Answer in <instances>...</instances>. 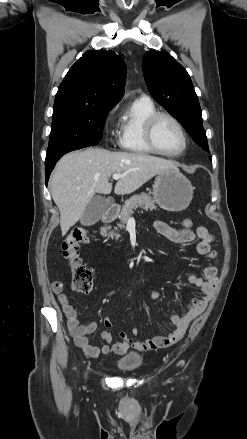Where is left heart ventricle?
Instances as JSON below:
<instances>
[{"label":"left heart ventricle","mask_w":247,"mask_h":439,"mask_svg":"<svg viewBox=\"0 0 247 439\" xmlns=\"http://www.w3.org/2000/svg\"><path fill=\"white\" fill-rule=\"evenodd\" d=\"M155 143L162 151L173 153L181 149L183 140L176 125L167 118L157 121L154 129Z\"/></svg>","instance_id":"b2bd125f"}]
</instances>
